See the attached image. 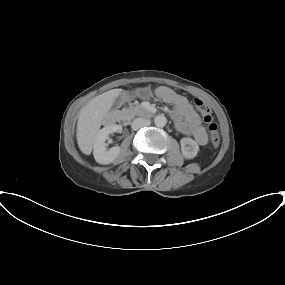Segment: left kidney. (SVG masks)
<instances>
[{"mask_svg": "<svg viewBox=\"0 0 285 285\" xmlns=\"http://www.w3.org/2000/svg\"><path fill=\"white\" fill-rule=\"evenodd\" d=\"M181 152L184 158L193 159L198 151L199 145L192 138L184 137L180 140Z\"/></svg>", "mask_w": 285, "mask_h": 285, "instance_id": "1", "label": "left kidney"}]
</instances>
